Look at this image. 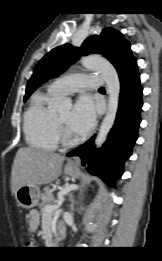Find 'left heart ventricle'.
<instances>
[{"instance_id":"b2bd125f","label":"left heart ventricle","mask_w":162,"mask_h":261,"mask_svg":"<svg viewBox=\"0 0 162 261\" xmlns=\"http://www.w3.org/2000/svg\"><path fill=\"white\" fill-rule=\"evenodd\" d=\"M70 112L66 111L63 113L56 114L57 119L64 125V127L71 133L72 131L69 129V119H70Z\"/></svg>"}]
</instances>
